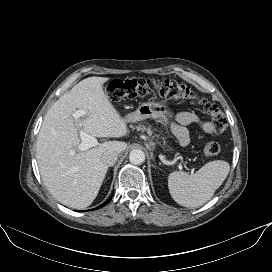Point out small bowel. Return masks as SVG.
Wrapping results in <instances>:
<instances>
[{"label": "small bowel", "instance_id": "c3829d8e", "mask_svg": "<svg viewBox=\"0 0 272 272\" xmlns=\"http://www.w3.org/2000/svg\"><path fill=\"white\" fill-rule=\"evenodd\" d=\"M192 123L199 124L206 133L215 132V128L211 122L201 121L197 115L190 112L179 113L176 118L174 131L182 145H186L189 141L186 127Z\"/></svg>", "mask_w": 272, "mask_h": 272}]
</instances>
